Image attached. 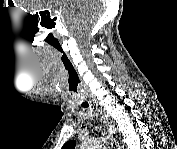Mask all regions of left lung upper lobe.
Here are the masks:
<instances>
[{
  "label": "left lung upper lobe",
  "instance_id": "1",
  "mask_svg": "<svg viewBox=\"0 0 177 149\" xmlns=\"http://www.w3.org/2000/svg\"><path fill=\"white\" fill-rule=\"evenodd\" d=\"M64 149H74L75 148V141H69L63 146Z\"/></svg>",
  "mask_w": 177,
  "mask_h": 149
}]
</instances>
